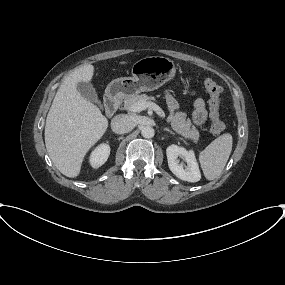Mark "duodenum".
I'll list each match as a JSON object with an SVG mask.
<instances>
[{"mask_svg": "<svg viewBox=\"0 0 285 285\" xmlns=\"http://www.w3.org/2000/svg\"><path fill=\"white\" fill-rule=\"evenodd\" d=\"M120 102L121 99L116 93L109 92L105 99L106 114L108 116H113L118 110Z\"/></svg>", "mask_w": 285, "mask_h": 285, "instance_id": "obj_1", "label": "duodenum"}]
</instances>
